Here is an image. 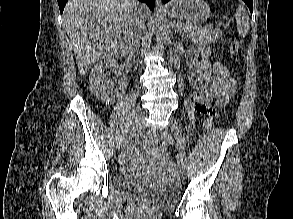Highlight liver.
Here are the masks:
<instances>
[{"label":"liver","instance_id":"6515ba94","mask_svg":"<svg viewBox=\"0 0 293 219\" xmlns=\"http://www.w3.org/2000/svg\"><path fill=\"white\" fill-rule=\"evenodd\" d=\"M150 13L135 0H69L63 22L71 39L80 75L101 59L128 55L135 38L133 20Z\"/></svg>","mask_w":293,"mask_h":219}]
</instances>
